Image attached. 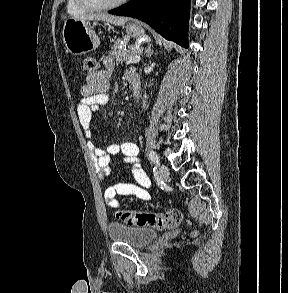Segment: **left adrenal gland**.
I'll return each mask as SVG.
<instances>
[{
	"mask_svg": "<svg viewBox=\"0 0 288 293\" xmlns=\"http://www.w3.org/2000/svg\"><path fill=\"white\" fill-rule=\"evenodd\" d=\"M145 54L147 58H150L151 55L153 54V50L151 49V45H148V47L145 50Z\"/></svg>",
	"mask_w": 288,
	"mask_h": 293,
	"instance_id": "a2214340",
	"label": "left adrenal gland"
}]
</instances>
